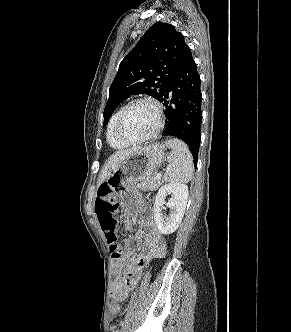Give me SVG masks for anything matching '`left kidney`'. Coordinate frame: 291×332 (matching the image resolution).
Here are the masks:
<instances>
[{"label":"left kidney","instance_id":"obj_1","mask_svg":"<svg viewBox=\"0 0 291 332\" xmlns=\"http://www.w3.org/2000/svg\"><path fill=\"white\" fill-rule=\"evenodd\" d=\"M171 195L166 203L170 208V216L164 217L161 213L165 204V197ZM188 200V186L183 183H169L163 185L155 198L154 220L158 230L162 234H171L179 227L185 213Z\"/></svg>","mask_w":291,"mask_h":332}]
</instances>
